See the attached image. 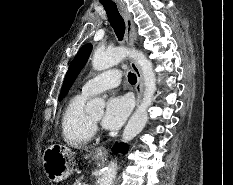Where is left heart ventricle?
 Segmentation results:
<instances>
[{"instance_id":"1","label":"left heart ventricle","mask_w":233,"mask_h":185,"mask_svg":"<svg viewBox=\"0 0 233 185\" xmlns=\"http://www.w3.org/2000/svg\"><path fill=\"white\" fill-rule=\"evenodd\" d=\"M101 116H102V113L100 112V113H98V114H96V115H93L92 118H93L94 120L98 121V120L101 118Z\"/></svg>"}]
</instances>
